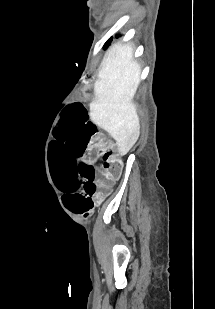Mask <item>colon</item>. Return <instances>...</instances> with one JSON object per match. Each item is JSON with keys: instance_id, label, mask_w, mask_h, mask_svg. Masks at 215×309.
I'll return each instance as SVG.
<instances>
[{"instance_id": "obj_1", "label": "colon", "mask_w": 215, "mask_h": 309, "mask_svg": "<svg viewBox=\"0 0 215 309\" xmlns=\"http://www.w3.org/2000/svg\"><path fill=\"white\" fill-rule=\"evenodd\" d=\"M103 168L112 174H118L121 168V162L114 152L108 151L103 153Z\"/></svg>"}]
</instances>
